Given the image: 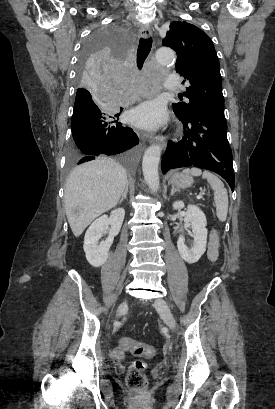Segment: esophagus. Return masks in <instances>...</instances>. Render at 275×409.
<instances>
[{"mask_svg": "<svg viewBox=\"0 0 275 409\" xmlns=\"http://www.w3.org/2000/svg\"><path fill=\"white\" fill-rule=\"evenodd\" d=\"M139 35L142 38H150L152 36V30L150 29V27H148V25H142L139 29ZM152 140L156 144H159L162 148L166 147L167 142H166V138L164 137V135H157Z\"/></svg>", "mask_w": 275, "mask_h": 409, "instance_id": "34e87169", "label": "esophagus"}]
</instances>
